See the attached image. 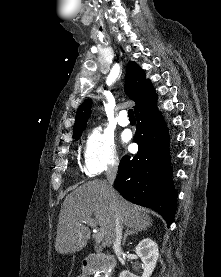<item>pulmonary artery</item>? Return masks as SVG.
<instances>
[{
  "label": "pulmonary artery",
  "mask_w": 221,
  "mask_h": 277,
  "mask_svg": "<svg viewBox=\"0 0 221 277\" xmlns=\"http://www.w3.org/2000/svg\"><path fill=\"white\" fill-rule=\"evenodd\" d=\"M117 121L120 126L126 127L129 125V120L127 118L126 112L121 111L118 115Z\"/></svg>",
  "instance_id": "e3ab8cb5"
}]
</instances>
